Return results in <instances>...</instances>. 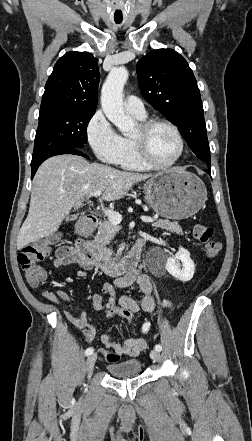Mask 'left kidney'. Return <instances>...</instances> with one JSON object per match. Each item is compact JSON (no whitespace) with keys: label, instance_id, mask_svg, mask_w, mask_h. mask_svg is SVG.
I'll use <instances>...</instances> for the list:
<instances>
[{"label":"left kidney","instance_id":"5707ae66","mask_svg":"<svg viewBox=\"0 0 252 441\" xmlns=\"http://www.w3.org/2000/svg\"><path fill=\"white\" fill-rule=\"evenodd\" d=\"M179 262L182 263V268ZM165 268L169 274L182 282L190 281L195 272V264L190 257V253L182 247L174 256L167 259Z\"/></svg>","mask_w":252,"mask_h":441}]
</instances>
